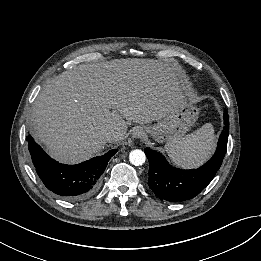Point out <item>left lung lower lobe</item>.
I'll use <instances>...</instances> for the list:
<instances>
[{
    "label": "left lung lower lobe",
    "instance_id": "1",
    "mask_svg": "<svg viewBox=\"0 0 261 261\" xmlns=\"http://www.w3.org/2000/svg\"><path fill=\"white\" fill-rule=\"evenodd\" d=\"M224 124L213 157L197 169L174 168L161 153L149 148L144 150L149 160L148 185L158 198L169 202L186 201L197 196L210 183L219 170L227 149L229 117L226 110Z\"/></svg>",
    "mask_w": 261,
    "mask_h": 261
}]
</instances>
